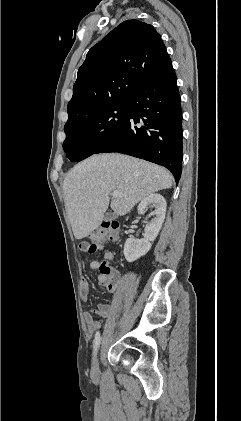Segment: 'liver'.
<instances>
[{
  "label": "liver",
  "instance_id": "1",
  "mask_svg": "<svg viewBox=\"0 0 241 421\" xmlns=\"http://www.w3.org/2000/svg\"><path fill=\"white\" fill-rule=\"evenodd\" d=\"M173 176L156 164L118 153L95 154L75 165L63 183L64 201L76 239L87 237L104 217L110 195L117 215L127 214L150 194L172 187Z\"/></svg>",
  "mask_w": 241,
  "mask_h": 421
}]
</instances>
